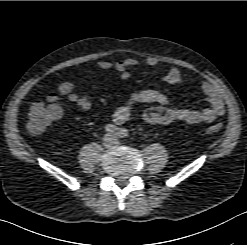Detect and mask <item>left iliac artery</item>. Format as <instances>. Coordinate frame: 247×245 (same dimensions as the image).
<instances>
[{"label":"left iliac artery","mask_w":247,"mask_h":245,"mask_svg":"<svg viewBox=\"0 0 247 245\" xmlns=\"http://www.w3.org/2000/svg\"><path fill=\"white\" fill-rule=\"evenodd\" d=\"M118 135H119L121 138L127 137V136H128L127 130H125V129H120Z\"/></svg>","instance_id":"left-iliac-artery-1"}]
</instances>
